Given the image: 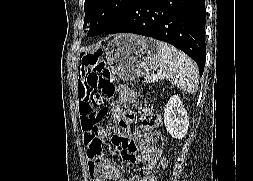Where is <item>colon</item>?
Returning a JSON list of instances; mask_svg holds the SVG:
<instances>
[{"instance_id": "colon-1", "label": "colon", "mask_w": 253, "mask_h": 181, "mask_svg": "<svg viewBox=\"0 0 253 181\" xmlns=\"http://www.w3.org/2000/svg\"><path fill=\"white\" fill-rule=\"evenodd\" d=\"M102 55H106V50H103V47H86L82 56V67L87 71L88 91L85 100L87 113L81 121L86 132L84 142L89 147L91 157L95 160L102 157L103 130H97V125H101L106 115L104 103L117 93V86L111 78L110 72L103 68ZM142 122L146 126L156 127L160 122V117L149 106L143 111ZM146 181H155V177L147 176Z\"/></svg>"}]
</instances>
